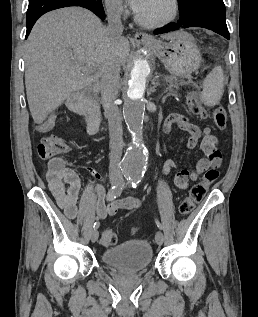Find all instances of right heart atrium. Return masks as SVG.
Segmentation results:
<instances>
[{
    "mask_svg": "<svg viewBox=\"0 0 258 317\" xmlns=\"http://www.w3.org/2000/svg\"><path fill=\"white\" fill-rule=\"evenodd\" d=\"M106 12L111 16H123L124 15V6L119 0H106L105 1Z\"/></svg>",
    "mask_w": 258,
    "mask_h": 317,
    "instance_id": "1",
    "label": "right heart atrium"
}]
</instances>
